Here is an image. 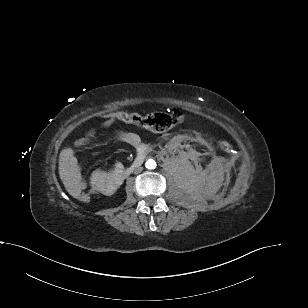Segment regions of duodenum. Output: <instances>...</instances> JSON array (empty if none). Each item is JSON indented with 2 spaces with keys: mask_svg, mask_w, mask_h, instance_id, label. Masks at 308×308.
I'll use <instances>...</instances> for the list:
<instances>
[{
  "mask_svg": "<svg viewBox=\"0 0 308 308\" xmlns=\"http://www.w3.org/2000/svg\"><path fill=\"white\" fill-rule=\"evenodd\" d=\"M146 149H141L139 152H138V155L136 157V159L133 161V163L127 167L122 173H121V181L129 176L133 170L139 166H141L143 160H144V156H145V153H146Z\"/></svg>",
  "mask_w": 308,
  "mask_h": 308,
  "instance_id": "obj_1",
  "label": "duodenum"
}]
</instances>
